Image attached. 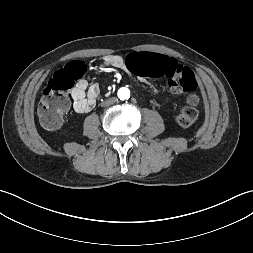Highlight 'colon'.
<instances>
[{
    "instance_id": "5ec220e1",
    "label": "colon",
    "mask_w": 253,
    "mask_h": 253,
    "mask_svg": "<svg viewBox=\"0 0 253 253\" xmlns=\"http://www.w3.org/2000/svg\"><path fill=\"white\" fill-rule=\"evenodd\" d=\"M127 66L140 77L167 79L171 89L185 97L186 105L175 114L177 124L189 127L197 122V81L188 67L166 54L151 51H133L127 57ZM85 73L86 66L82 62H72L50 78L38 105V116L45 128L60 126L69 108V92Z\"/></svg>"
}]
</instances>
